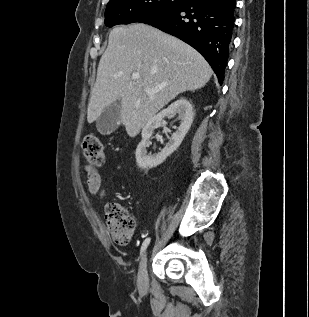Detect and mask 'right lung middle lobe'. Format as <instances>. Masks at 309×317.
<instances>
[{"mask_svg": "<svg viewBox=\"0 0 309 317\" xmlns=\"http://www.w3.org/2000/svg\"><path fill=\"white\" fill-rule=\"evenodd\" d=\"M186 0H110L105 11V25L129 24L138 18L181 5Z\"/></svg>", "mask_w": 309, "mask_h": 317, "instance_id": "1", "label": "right lung middle lobe"}]
</instances>
